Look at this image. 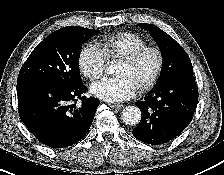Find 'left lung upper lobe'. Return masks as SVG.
<instances>
[{
  "label": "left lung upper lobe",
  "mask_w": 224,
  "mask_h": 175,
  "mask_svg": "<svg viewBox=\"0 0 224 175\" xmlns=\"http://www.w3.org/2000/svg\"><path fill=\"white\" fill-rule=\"evenodd\" d=\"M156 41L163 56V68L157 85L180 75H193V67L184 49L166 32L155 25L140 23Z\"/></svg>",
  "instance_id": "left-lung-upper-lobe-1"
}]
</instances>
